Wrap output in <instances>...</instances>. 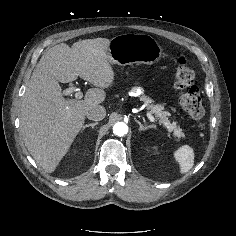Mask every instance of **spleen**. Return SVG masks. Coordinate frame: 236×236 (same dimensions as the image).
<instances>
[{
    "label": "spleen",
    "instance_id": "obj_1",
    "mask_svg": "<svg viewBox=\"0 0 236 236\" xmlns=\"http://www.w3.org/2000/svg\"><path fill=\"white\" fill-rule=\"evenodd\" d=\"M176 158L180 165V172L187 173L194 164V151L190 146L184 145L176 152Z\"/></svg>",
    "mask_w": 236,
    "mask_h": 236
}]
</instances>
